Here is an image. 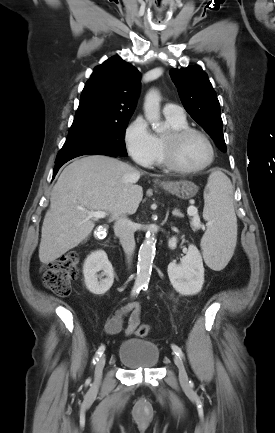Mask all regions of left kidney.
<instances>
[{
	"mask_svg": "<svg viewBox=\"0 0 275 433\" xmlns=\"http://www.w3.org/2000/svg\"><path fill=\"white\" fill-rule=\"evenodd\" d=\"M177 238L173 237L169 246L175 249ZM168 276L173 288L182 295H194L201 291L204 283L202 256L196 246L190 244L187 254L180 264L171 262L168 265Z\"/></svg>",
	"mask_w": 275,
	"mask_h": 433,
	"instance_id": "5707ae66",
	"label": "left kidney"
}]
</instances>
